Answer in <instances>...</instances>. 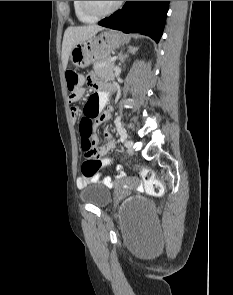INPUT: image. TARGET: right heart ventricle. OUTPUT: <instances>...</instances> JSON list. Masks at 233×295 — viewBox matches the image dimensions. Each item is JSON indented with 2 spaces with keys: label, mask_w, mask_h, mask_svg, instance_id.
Instances as JSON below:
<instances>
[{
  "label": "right heart ventricle",
  "mask_w": 233,
  "mask_h": 295,
  "mask_svg": "<svg viewBox=\"0 0 233 295\" xmlns=\"http://www.w3.org/2000/svg\"><path fill=\"white\" fill-rule=\"evenodd\" d=\"M73 10L77 19L84 23L93 22L96 18H93L83 12L80 6V1H72Z\"/></svg>",
  "instance_id": "obj_1"
}]
</instances>
